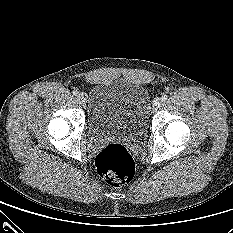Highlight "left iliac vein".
<instances>
[{"label":"left iliac vein","mask_w":233,"mask_h":233,"mask_svg":"<svg viewBox=\"0 0 233 233\" xmlns=\"http://www.w3.org/2000/svg\"><path fill=\"white\" fill-rule=\"evenodd\" d=\"M162 103H163V100L160 97L155 98L154 101H153V108L154 109L160 108Z\"/></svg>","instance_id":"left-iliac-vein-1"}]
</instances>
